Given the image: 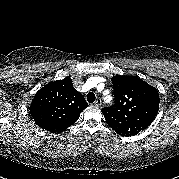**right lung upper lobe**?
Returning <instances> with one entry per match:
<instances>
[{
    "instance_id": "cb5924a9",
    "label": "right lung upper lobe",
    "mask_w": 179,
    "mask_h": 179,
    "mask_svg": "<svg viewBox=\"0 0 179 179\" xmlns=\"http://www.w3.org/2000/svg\"><path fill=\"white\" fill-rule=\"evenodd\" d=\"M86 107L85 98L66 77L42 87L34 96L30 113L40 128L61 133L78 120Z\"/></svg>"
}]
</instances>
